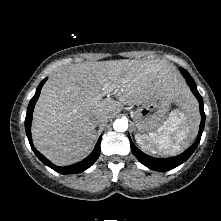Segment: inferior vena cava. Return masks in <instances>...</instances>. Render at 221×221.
<instances>
[{
	"label": "inferior vena cava",
	"mask_w": 221,
	"mask_h": 221,
	"mask_svg": "<svg viewBox=\"0 0 221 221\" xmlns=\"http://www.w3.org/2000/svg\"><path fill=\"white\" fill-rule=\"evenodd\" d=\"M108 121V118H107V116H105V115H97L96 116V119H95V123L97 124V125H99V124H104V123H106Z\"/></svg>",
	"instance_id": "1"
}]
</instances>
